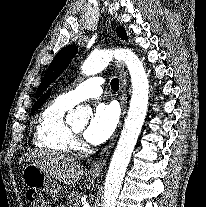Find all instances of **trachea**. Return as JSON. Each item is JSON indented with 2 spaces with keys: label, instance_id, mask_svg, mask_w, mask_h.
<instances>
[{
  "label": "trachea",
  "instance_id": "trachea-1",
  "mask_svg": "<svg viewBox=\"0 0 206 207\" xmlns=\"http://www.w3.org/2000/svg\"><path fill=\"white\" fill-rule=\"evenodd\" d=\"M110 85H111V88H112L113 91H118V89H119V79L118 78L112 79Z\"/></svg>",
  "mask_w": 206,
  "mask_h": 207
}]
</instances>
